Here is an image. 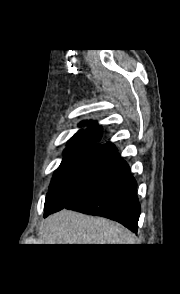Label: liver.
I'll return each mask as SVG.
<instances>
[{"label": "liver", "mask_w": 180, "mask_h": 294, "mask_svg": "<svg viewBox=\"0 0 180 294\" xmlns=\"http://www.w3.org/2000/svg\"><path fill=\"white\" fill-rule=\"evenodd\" d=\"M43 244H134L135 235L108 219L70 210L50 215L42 222Z\"/></svg>", "instance_id": "6515ba94"}]
</instances>
